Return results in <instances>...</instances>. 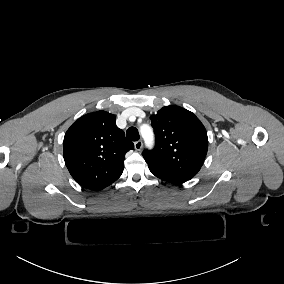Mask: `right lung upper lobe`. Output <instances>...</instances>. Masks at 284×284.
Returning <instances> with one entry per match:
<instances>
[{
    "label": "right lung upper lobe",
    "instance_id": "right-lung-upper-lobe-1",
    "mask_svg": "<svg viewBox=\"0 0 284 284\" xmlns=\"http://www.w3.org/2000/svg\"><path fill=\"white\" fill-rule=\"evenodd\" d=\"M115 121L114 114L100 110L80 117L65 133V164L84 188L101 190L123 172L125 154L134 145Z\"/></svg>",
    "mask_w": 284,
    "mask_h": 284
}]
</instances>
